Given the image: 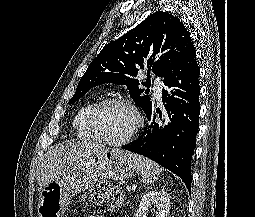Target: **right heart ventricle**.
<instances>
[{
	"mask_svg": "<svg viewBox=\"0 0 255 217\" xmlns=\"http://www.w3.org/2000/svg\"><path fill=\"white\" fill-rule=\"evenodd\" d=\"M100 99L92 100L83 106L77 111L73 119V127L75 128L76 134L79 138L83 140H94L96 137L89 130L87 125V114L90 108L96 104Z\"/></svg>",
	"mask_w": 255,
	"mask_h": 217,
	"instance_id": "obj_1",
	"label": "right heart ventricle"
}]
</instances>
